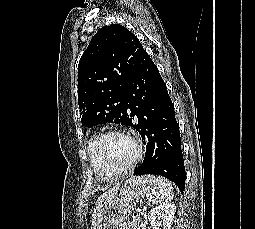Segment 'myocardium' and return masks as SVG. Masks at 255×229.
I'll use <instances>...</instances> for the list:
<instances>
[{
    "mask_svg": "<svg viewBox=\"0 0 255 229\" xmlns=\"http://www.w3.org/2000/svg\"><path fill=\"white\" fill-rule=\"evenodd\" d=\"M112 136L127 137L130 140H132L133 143L135 144V146H136L135 157L128 164H125L122 166H115V165H112L111 163H109L103 156L101 147H102L103 143L105 142V140ZM142 152H143V147H142V143H141L140 139L137 138L136 136L132 135L129 132L121 131V130H110V131L100 134L95 142V145H94V153H95L96 157L100 160V162L107 169L111 170L112 172L119 173V174L133 169L137 165V163L140 161Z\"/></svg>",
    "mask_w": 255,
    "mask_h": 229,
    "instance_id": "obj_1",
    "label": "myocardium"
}]
</instances>
